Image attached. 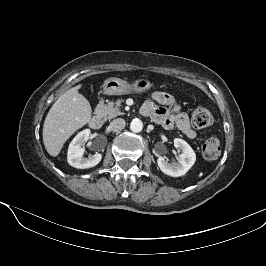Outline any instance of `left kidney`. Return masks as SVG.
I'll use <instances>...</instances> for the list:
<instances>
[{"label":"left kidney","mask_w":266,"mask_h":266,"mask_svg":"<svg viewBox=\"0 0 266 266\" xmlns=\"http://www.w3.org/2000/svg\"><path fill=\"white\" fill-rule=\"evenodd\" d=\"M174 146L182 152L179 156L178 162L170 164L165 160V157L161 156L158 158L157 164L164 174L172 177H180L194 165L196 154L192 147L183 139L175 138Z\"/></svg>","instance_id":"left-kidney-1"}]
</instances>
